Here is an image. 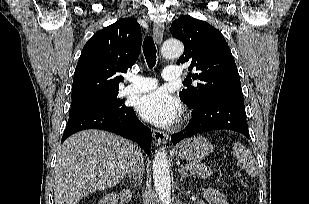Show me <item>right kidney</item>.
Wrapping results in <instances>:
<instances>
[{"label": "right kidney", "mask_w": 309, "mask_h": 204, "mask_svg": "<svg viewBox=\"0 0 309 204\" xmlns=\"http://www.w3.org/2000/svg\"><path fill=\"white\" fill-rule=\"evenodd\" d=\"M132 194L130 190H122L119 194L109 193L98 204H117L120 199L122 204H128L131 200Z\"/></svg>", "instance_id": "right-kidney-1"}]
</instances>
